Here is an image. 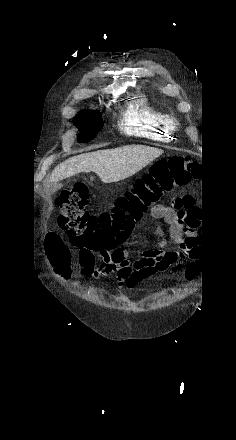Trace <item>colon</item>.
<instances>
[{
	"label": "colon",
	"mask_w": 236,
	"mask_h": 440,
	"mask_svg": "<svg viewBox=\"0 0 236 440\" xmlns=\"http://www.w3.org/2000/svg\"><path fill=\"white\" fill-rule=\"evenodd\" d=\"M197 164L189 157L174 156L152 166L137 180L134 187L119 197L112 212L94 215L89 213V188L84 184L64 190L57 199L61 211L60 229L72 245L94 251L112 250L124 243L132 234L146 210L177 188L187 186L198 178ZM49 250L57 270L65 267L57 255L63 244L59 235L47 234Z\"/></svg>",
	"instance_id": "5ec220e1"
}]
</instances>
